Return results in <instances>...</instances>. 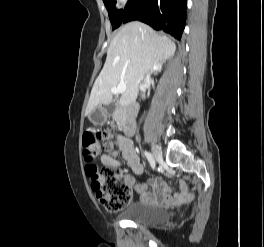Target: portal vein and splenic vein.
Here are the masks:
<instances>
[{
  "mask_svg": "<svg viewBox=\"0 0 264 247\" xmlns=\"http://www.w3.org/2000/svg\"><path fill=\"white\" fill-rule=\"evenodd\" d=\"M126 91V84L119 83L117 86L111 87V92L113 94H123Z\"/></svg>",
  "mask_w": 264,
  "mask_h": 247,
  "instance_id": "obj_1",
  "label": "portal vein and splenic vein"
}]
</instances>
